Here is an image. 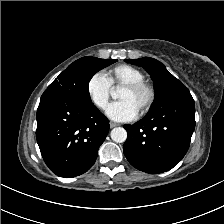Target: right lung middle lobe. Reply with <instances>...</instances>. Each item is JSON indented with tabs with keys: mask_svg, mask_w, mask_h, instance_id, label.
<instances>
[{
	"mask_svg": "<svg viewBox=\"0 0 224 224\" xmlns=\"http://www.w3.org/2000/svg\"><path fill=\"white\" fill-rule=\"evenodd\" d=\"M114 59L82 57L70 64L45 91H58L87 101H91L88 85L99 70L115 63Z\"/></svg>",
	"mask_w": 224,
	"mask_h": 224,
	"instance_id": "1",
	"label": "right lung middle lobe"
}]
</instances>
